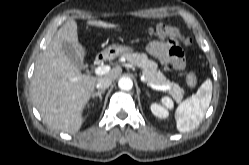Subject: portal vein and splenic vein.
<instances>
[{"mask_svg": "<svg viewBox=\"0 0 249 165\" xmlns=\"http://www.w3.org/2000/svg\"><path fill=\"white\" fill-rule=\"evenodd\" d=\"M110 70H111V68L108 65L98 66L97 68H95L94 73L96 75H104V74L108 73ZM150 86L153 89L160 90V91H165V90L170 88L169 86H165V85L150 84Z\"/></svg>", "mask_w": 249, "mask_h": 165, "instance_id": "obj_1", "label": "portal vein and splenic vein"}]
</instances>
